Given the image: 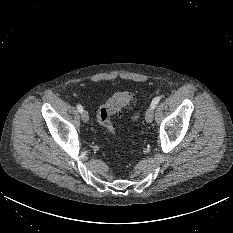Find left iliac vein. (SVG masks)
Masks as SVG:
<instances>
[{
	"label": "left iliac vein",
	"instance_id": "left-iliac-vein-1",
	"mask_svg": "<svg viewBox=\"0 0 233 233\" xmlns=\"http://www.w3.org/2000/svg\"><path fill=\"white\" fill-rule=\"evenodd\" d=\"M154 108L150 106L145 113V120L147 123H151L153 120Z\"/></svg>",
	"mask_w": 233,
	"mask_h": 233
}]
</instances>
